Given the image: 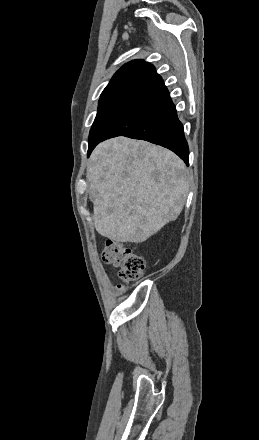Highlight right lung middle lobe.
<instances>
[{
    "mask_svg": "<svg viewBox=\"0 0 259 440\" xmlns=\"http://www.w3.org/2000/svg\"><path fill=\"white\" fill-rule=\"evenodd\" d=\"M145 95L146 93L143 92H127L101 96L98 113L90 130L89 143L105 136Z\"/></svg>",
    "mask_w": 259,
    "mask_h": 440,
    "instance_id": "obj_1",
    "label": "right lung middle lobe"
}]
</instances>
